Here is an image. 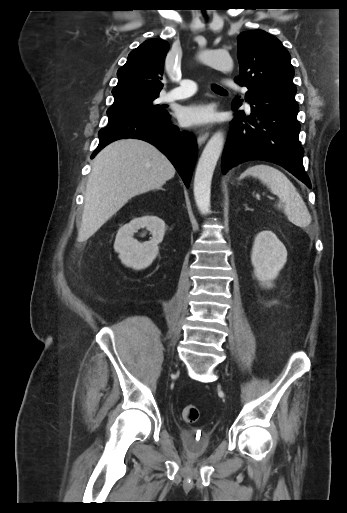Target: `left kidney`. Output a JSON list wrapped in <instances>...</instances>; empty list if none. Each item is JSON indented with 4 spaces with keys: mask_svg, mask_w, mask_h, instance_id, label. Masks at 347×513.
<instances>
[{
    "mask_svg": "<svg viewBox=\"0 0 347 513\" xmlns=\"http://www.w3.org/2000/svg\"><path fill=\"white\" fill-rule=\"evenodd\" d=\"M287 261L284 244L271 231H262L254 239L251 262L254 274L266 288L274 286L273 280Z\"/></svg>",
    "mask_w": 347,
    "mask_h": 513,
    "instance_id": "obj_1",
    "label": "left kidney"
}]
</instances>
